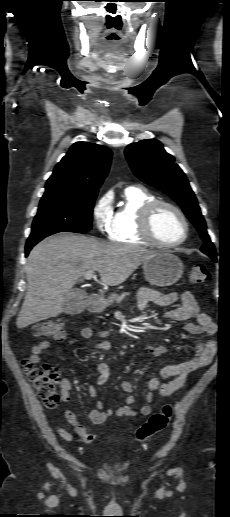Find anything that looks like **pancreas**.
<instances>
[{
  "instance_id": "pancreas-1",
  "label": "pancreas",
  "mask_w": 230,
  "mask_h": 517,
  "mask_svg": "<svg viewBox=\"0 0 230 517\" xmlns=\"http://www.w3.org/2000/svg\"><path fill=\"white\" fill-rule=\"evenodd\" d=\"M129 295V292H123L121 295H119L116 299V303H120L126 296Z\"/></svg>"
}]
</instances>
